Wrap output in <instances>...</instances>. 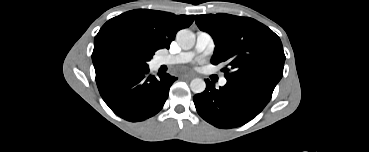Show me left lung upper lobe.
<instances>
[{"label":"left lung upper lobe","mask_w":369,"mask_h":152,"mask_svg":"<svg viewBox=\"0 0 369 152\" xmlns=\"http://www.w3.org/2000/svg\"><path fill=\"white\" fill-rule=\"evenodd\" d=\"M197 26L216 45L212 64L227 61V80L275 88L283 76L285 55L280 38L267 26L224 13L197 15Z\"/></svg>","instance_id":"5c2ea615"}]
</instances>
